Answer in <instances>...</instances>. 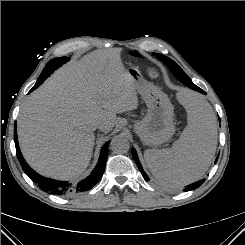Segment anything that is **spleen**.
<instances>
[{
  "mask_svg": "<svg viewBox=\"0 0 245 245\" xmlns=\"http://www.w3.org/2000/svg\"><path fill=\"white\" fill-rule=\"evenodd\" d=\"M183 104L188 125L171 148L148 149L144 158L162 184L181 187L199 180L207 171L217 146L216 117L210 104L195 93H186Z\"/></svg>",
  "mask_w": 245,
  "mask_h": 245,
  "instance_id": "spleen-1",
  "label": "spleen"
}]
</instances>
